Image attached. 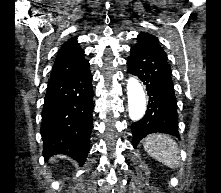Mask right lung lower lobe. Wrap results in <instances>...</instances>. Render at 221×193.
<instances>
[{"instance_id":"right-lung-lower-lobe-1","label":"right lung lower lobe","mask_w":221,"mask_h":193,"mask_svg":"<svg viewBox=\"0 0 221 193\" xmlns=\"http://www.w3.org/2000/svg\"><path fill=\"white\" fill-rule=\"evenodd\" d=\"M91 82L89 62L71 73L50 77L40 129L45 159L64 154L84 164L92 129Z\"/></svg>"}]
</instances>
